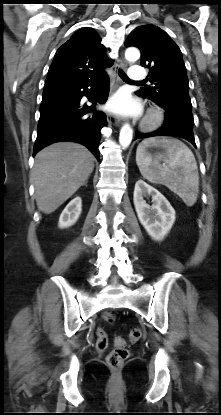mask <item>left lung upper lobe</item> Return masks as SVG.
Returning <instances> with one entry per match:
<instances>
[{"mask_svg": "<svg viewBox=\"0 0 221 415\" xmlns=\"http://www.w3.org/2000/svg\"><path fill=\"white\" fill-rule=\"evenodd\" d=\"M125 46L141 51V65L148 68L152 87L146 86L137 95L158 104L184 102L191 104L186 67L182 53L170 36L155 25L137 27Z\"/></svg>", "mask_w": 221, "mask_h": 415, "instance_id": "5c2ea615", "label": "left lung upper lobe"}]
</instances>
